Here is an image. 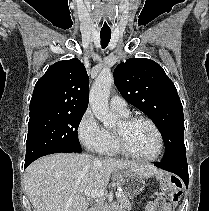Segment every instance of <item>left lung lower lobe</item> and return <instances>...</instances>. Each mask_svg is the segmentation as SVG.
Masks as SVG:
<instances>
[{
    "label": "left lung lower lobe",
    "instance_id": "1",
    "mask_svg": "<svg viewBox=\"0 0 209 211\" xmlns=\"http://www.w3.org/2000/svg\"><path fill=\"white\" fill-rule=\"evenodd\" d=\"M154 165L163 170L178 175L184 181L186 187H188L189 176H188V165L186 157L179 158L167 163L164 162L155 163Z\"/></svg>",
    "mask_w": 209,
    "mask_h": 211
}]
</instances>
